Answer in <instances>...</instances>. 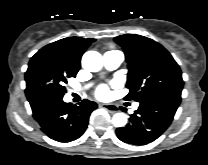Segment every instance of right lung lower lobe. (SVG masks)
I'll return each instance as SVG.
<instances>
[{"label":"right lung lower lobe","instance_id":"98d812e1","mask_svg":"<svg viewBox=\"0 0 208 165\" xmlns=\"http://www.w3.org/2000/svg\"><path fill=\"white\" fill-rule=\"evenodd\" d=\"M97 104L87 99L79 106L65 103L62 98L49 100L32 109L33 117L43 132L59 142L79 138L86 130L91 112Z\"/></svg>","mask_w":208,"mask_h":165}]
</instances>
